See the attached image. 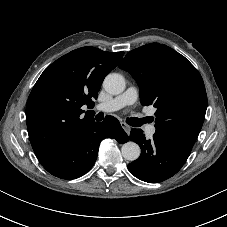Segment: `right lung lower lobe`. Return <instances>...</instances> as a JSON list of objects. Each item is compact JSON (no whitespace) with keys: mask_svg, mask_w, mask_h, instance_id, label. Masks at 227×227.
<instances>
[{"mask_svg":"<svg viewBox=\"0 0 227 227\" xmlns=\"http://www.w3.org/2000/svg\"><path fill=\"white\" fill-rule=\"evenodd\" d=\"M127 136L119 121L107 116L103 122L90 123L86 130L67 143L61 151L42 166L52 175L66 180L78 178L94 165L102 139Z\"/></svg>","mask_w":227,"mask_h":227,"instance_id":"obj_1","label":"right lung lower lobe"}]
</instances>
